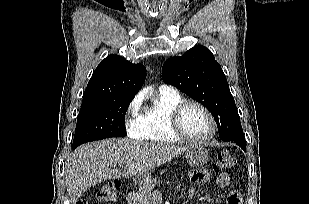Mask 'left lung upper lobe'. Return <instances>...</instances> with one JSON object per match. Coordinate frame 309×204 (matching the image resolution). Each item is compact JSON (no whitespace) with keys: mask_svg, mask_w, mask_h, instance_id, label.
<instances>
[{"mask_svg":"<svg viewBox=\"0 0 309 204\" xmlns=\"http://www.w3.org/2000/svg\"><path fill=\"white\" fill-rule=\"evenodd\" d=\"M162 79L205 106L223 141L243 137L240 117L224 72L209 49L198 45L162 67Z\"/></svg>","mask_w":309,"mask_h":204,"instance_id":"obj_1","label":"left lung upper lobe"}]
</instances>
